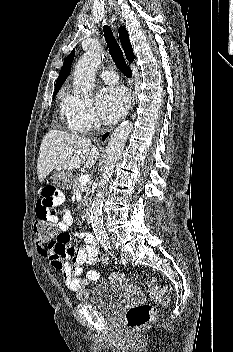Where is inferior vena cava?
<instances>
[{"instance_id": "1", "label": "inferior vena cava", "mask_w": 233, "mask_h": 352, "mask_svg": "<svg viewBox=\"0 0 233 352\" xmlns=\"http://www.w3.org/2000/svg\"><path fill=\"white\" fill-rule=\"evenodd\" d=\"M100 127V124L98 121H95V128H99Z\"/></svg>"}]
</instances>
